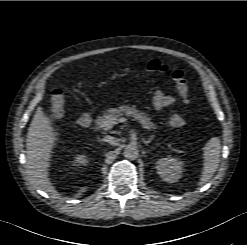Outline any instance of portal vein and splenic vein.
Listing matches in <instances>:
<instances>
[{
    "mask_svg": "<svg viewBox=\"0 0 247 245\" xmlns=\"http://www.w3.org/2000/svg\"><path fill=\"white\" fill-rule=\"evenodd\" d=\"M128 119L127 118H120V119H108L105 121V130H108L110 128L113 127V125L117 124V123H124L127 122Z\"/></svg>",
    "mask_w": 247,
    "mask_h": 245,
    "instance_id": "1",
    "label": "portal vein and splenic vein"
}]
</instances>
